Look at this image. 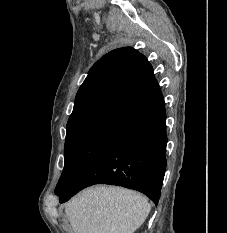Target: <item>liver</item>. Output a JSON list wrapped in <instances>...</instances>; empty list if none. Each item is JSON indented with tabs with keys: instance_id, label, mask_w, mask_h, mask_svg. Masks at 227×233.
Here are the masks:
<instances>
[{
	"instance_id": "1",
	"label": "liver",
	"mask_w": 227,
	"mask_h": 233,
	"mask_svg": "<svg viewBox=\"0 0 227 233\" xmlns=\"http://www.w3.org/2000/svg\"><path fill=\"white\" fill-rule=\"evenodd\" d=\"M150 210L140 193L107 186L88 188L65 207L74 233H134Z\"/></svg>"
}]
</instances>
